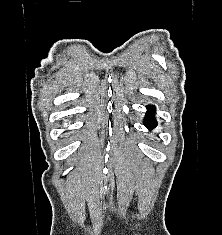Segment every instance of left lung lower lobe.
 I'll return each mask as SVG.
<instances>
[{"instance_id": "0a47b994", "label": "left lung lower lobe", "mask_w": 222, "mask_h": 235, "mask_svg": "<svg viewBox=\"0 0 222 235\" xmlns=\"http://www.w3.org/2000/svg\"><path fill=\"white\" fill-rule=\"evenodd\" d=\"M147 110L148 111L146 113V118H145V121H144V125L149 130H152L157 126V122H155V120H154V112H155L154 106L153 105L148 106Z\"/></svg>"}]
</instances>
